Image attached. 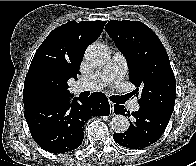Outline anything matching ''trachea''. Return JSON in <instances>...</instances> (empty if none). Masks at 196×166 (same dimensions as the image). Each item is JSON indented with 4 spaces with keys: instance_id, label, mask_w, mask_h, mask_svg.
<instances>
[{
    "instance_id": "3493384b",
    "label": "trachea",
    "mask_w": 196,
    "mask_h": 166,
    "mask_svg": "<svg viewBox=\"0 0 196 166\" xmlns=\"http://www.w3.org/2000/svg\"><path fill=\"white\" fill-rule=\"evenodd\" d=\"M110 100L113 101V102H115V103H119V102H120L118 96H111V97H110Z\"/></svg>"
}]
</instances>
